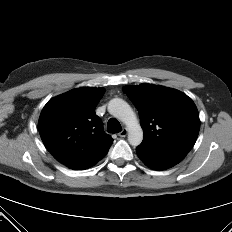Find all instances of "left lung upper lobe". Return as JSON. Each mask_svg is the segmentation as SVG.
I'll list each match as a JSON object with an SVG mask.
<instances>
[{
	"label": "left lung upper lobe",
	"instance_id": "5c2ea615",
	"mask_svg": "<svg viewBox=\"0 0 232 232\" xmlns=\"http://www.w3.org/2000/svg\"><path fill=\"white\" fill-rule=\"evenodd\" d=\"M124 93L136 106L144 139L136 148L147 153L189 152L194 146L200 120L190 97L171 88L152 84L126 86Z\"/></svg>",
	"mask_w": 232,
	"mask_h": 232
}]
</instances>
